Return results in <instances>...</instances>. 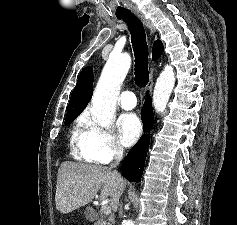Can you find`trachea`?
I'll return each mask as SVG.
<instances>
[{
    "mask_svg": "<svg viewBox=\"0 0 237 225\" xmlns=\"http://www.w3.org/2000/svg\"><path fill=\"white\" fill-rule=\"evenodd\" d=\"M117 18L124 20L128 25L135 56L134 80L138 87L144 88L149 82V52L143 24L140 19L131 12L118 16Z\"/></svg>",
    "mask_w": 237,
    "mask_h": 225,
    "instance_id": "3493384b",
    "label": "trachea"
}]
</instances>
